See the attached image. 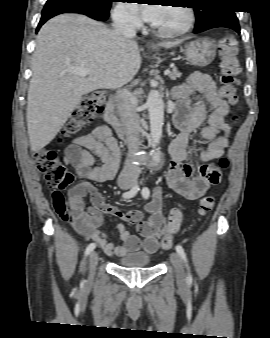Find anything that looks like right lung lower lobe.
<instances>
[{"label": "right lung lower lobe", "instance_id": "1", "mask_svg": "<svg viewBox=\"0 0 270 338\" xmlns=\"http://www.w3.org/2000/svg\"><path fill=\"white\" fill-rule=\"evenodd\" d=\"M68 12L84 14L96 20H105L109 16V11L86 6H66V5L45 6L42 11V17L40 19L36 32H38L40 27L48 19L56 15Z\"/></svg>", "mask_w": 270, "mask_h": 338}]
</instances>
